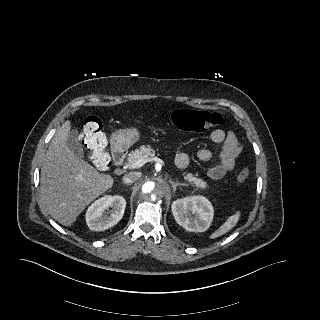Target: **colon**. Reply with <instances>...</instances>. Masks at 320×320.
<instances>
[{"instance_id":"obj_1","label":"colon","mask_w":320,"mask_h":320,"mask_svg":"<svg viewBox=\"0 0 320 320\" xmlns=\"http://www.w3.org/2000/svg\"><path fill=\"white\" fill-rule=\"evenodd\" d=\"M172 122L182 131L202 133L219 126L222 123V116L196 109H177L172 113ZM82 135L84 147L91 153L94 164L99 169L109 168L111 162L105 152L107 139L99 118L95 116L85 118ZM249 175V170L243 167L237 172V180L245 182Z\"/></svg>"}]
</instances>
